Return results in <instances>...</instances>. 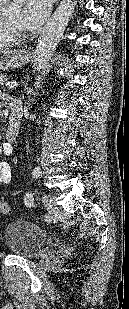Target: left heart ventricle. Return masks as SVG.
<instances>
[{
	"label": "left heart ventricle",
	"instance_id": "b2bd125f",
	"mask_svg": "<svg viewBox=\"0 0 129 309\" xmlns=\"http://www.w3.org/2000/svg\"><path fill=\"white\" fill-rule=\"evenodd\" d=\"M7 17L10 19L16 29H18L19 31L25 30L20 12H9L7 13Z\"/></svg>",
	"mask_w": 129,
	"mask_h": 309
}]
</instances>
